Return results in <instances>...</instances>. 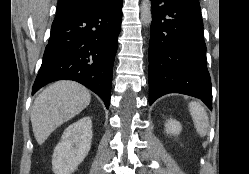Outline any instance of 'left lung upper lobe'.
I'll use <instances>...</instances> for the list:
<instances>
[{
	"label": "left lung upper lobe",
	"mask_w": 249,
	"mask_h": 174,
	"mask_svg": "<svg viewBox=\"0 0 249 174\" xmlns=\"http://www.w3.org/2000/svg\"><path fill=\"white\" fill-rule=\"evenodd\" d=\"M184 1H186L190 6L200 10V4L198 0H184Z\"/></svg>",
	"instance_id": "5c2ea615"
}]
</instances>
